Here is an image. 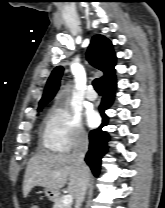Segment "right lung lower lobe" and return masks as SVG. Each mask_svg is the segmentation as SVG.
Instances as JSON below:
<instances>
[{"label": "right lung lower lobe", "mask_w": 165, "mask_h": 208, "mask_svg": "<svg viewBox=\"0 0 165 208\" xmlns=\"http://www.w3.org/2000/svg\"><path fill=\"white\" fill-rule=\"evenodd\" d=\"M104 95L102 102L99 106V112L102 116V124L99 128L92 130L89 134V151L86 154L85 161L90 166L94 175H98L101 158L107 152V142L109 140V134L102 131V127L108 124L109 118L105 114V110L110 108L114 100V92L116 89V79L113 77L103 85Z\"/></svg>", "instance_id": "98d812e1"}]
</instances>
